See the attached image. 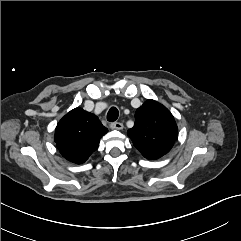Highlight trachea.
I'll use <instances>...</instances> for the list:
<instances>
[{"label":"trachea","instance_id":"obj_1","mask_svg":"<svg viewBox=\"0 0 241 241\" xmlns=\"http://www.w3.org/2000/svg\"><path fill=\"white\" fill-rule=\"evenodd\" d=\"M119 112L116 107H111L107 113V120L110 122H114L117 120Z\"/></svg>","mask_w":241,"mask_h":241}]
</instances>
